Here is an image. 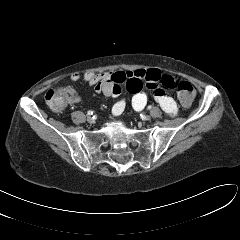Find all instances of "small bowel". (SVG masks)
<instances>
[{
	"mask_svg": "<svg viewBox=\"0 0 240 240\" xmlns=\"http://www.w3.org/2000/svg\"><path fill=\"white\" fill-rule=\"evenodd\" d=\"M81 79L90 85H94L95 92L103 94L105 97H118L121 94V85L124 84L126 90L133 95L131 104L137 112L141 111L147 103V95L142 90L146 86L152 91L155 101L167 114L174 116L178 112L175 100L168 95V90L174 87L175 79L172 75L162 73L158 69H139L112 73L87 71L81 74L76 72L71 74L69 78L70 82H77ZM66 89L70 94V103L75 104L80 102L81 96L70 84H67ZM125 107V99L120 98L114 103L112 114L114 116L121 115Z\"/></svg>",
	"mask_w": 240,
	"mask_h": 240,
	"instance_id": "obj_1",
	"label": "small bowel"
}]
</instances>
